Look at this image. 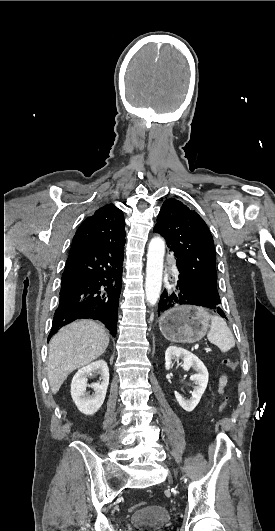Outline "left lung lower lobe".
Segmentation results:
<instances>
[{
    "mask_svg": "<svg viewBox=\"0 0 275 531\" xmlns=\"http://www.w3.org/2000/svg\"><path fill=\"white\" fill-rule=\"evenodd\" d=\"M186 304L203 306V305L199 304L197 301H195L192 298H190L184 292V289L179 287V286H176L175 291L164 290V292L162 293V295L160 297V301H159V304H158V316L160 314L164 313L165 311L171 309L174 306L186 305ZM214 308H216V307H214ZM217 312L222 317H225L224 312L220 308H217Z\"/></svg>",
    "mask_w": 275,
    "mask_h": 531,
    "instance_id": "0a47b994",
    "label": "left lung lower lobe"
}]
</instances>
